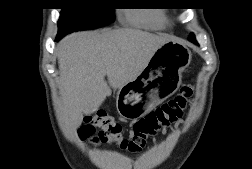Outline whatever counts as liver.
Instances as JSON below:
<instances>
[{
  "mask_svg": "<svg viewBox=\"0 0 252 169\" xmlns=\"http://www.w3.org/2000/svg\"><path fill=\"white\" fill-rule=\"evenodd\" d=\"M172 38L132 28L70 34L57 45L66 128L75 131L111 95L134 80ZM107 77L108 82L105 80Z\"/></svg>",
  "mask_w": 252,
  "mask_h": 169,
  "instance_id": "obj_1",
  "label": "liver"
}]
</instances>
